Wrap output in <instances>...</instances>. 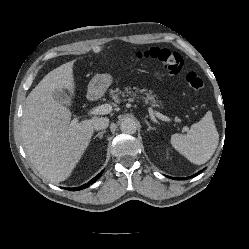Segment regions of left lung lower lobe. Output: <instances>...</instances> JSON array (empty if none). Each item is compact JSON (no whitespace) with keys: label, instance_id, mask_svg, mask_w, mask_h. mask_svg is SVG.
Masks as SVG:
<instances>
[{"label":"left lung lower lobe","instance_id":"left-lung-lower-lobe-1","mask_svg":"<svg viewBox=\"0 0 249 249\" xmlns=\"http://www.w3.org/2000/svg\"><path fill=\"white\" fill-rule=\"evenodd\" d=\"M200 172H201V171H200ZM200 172H198V173H196V174H194L193 176H190V177H188V178H173V179H177V180H185V179H189V178H192V177L197 176Z\"/></svg>","mask_w":249,"mask_h":249}]
</instances>
